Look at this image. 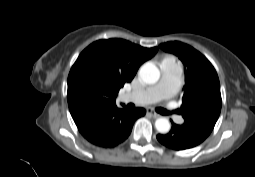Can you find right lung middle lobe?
I'll return each mask as SVG.
<instances>
[{"label": "right lung middle lobe", "instance_id": "1", "mask_svg": "<svg viewBox=\"0 0 255 177\" xmlns=\"http://www.w3.org/2000/svg\"><path fill=\"white\" fill-rule=\"evenodd\" d=\"M71 70H73V67ZM74 73L77 76L86 79L94 88L100 85L105 76V70L103 67L95 61L91 60L82 62L78 67L74 69Z\"/></svg>", "mask_w": 255, "mask_h": 177}]
</instances>
